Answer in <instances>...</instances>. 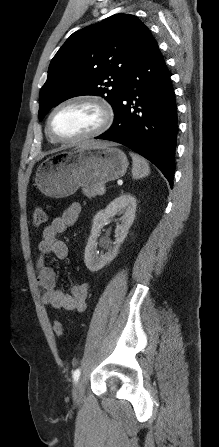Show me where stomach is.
I'll return each mask as SVG.
<instances>
[{
  "label": "stomach",
  "instance_id": "0dacf381",
  "mask_svg": "<svg viewBox=\"0 0 219 447\" xmlns=\"http://www.w3.org/2000/svg\"><path fill=\"white\" fill-rule=\"evenodd\" d=\"M127 167V157L120 149L93 142L48 157L37 168L35 182L44 195L63 198L79 187L119 179Z\"/></svg>",
  "mask_w": 219,
  "mask_h": 447
}]
</instances>
